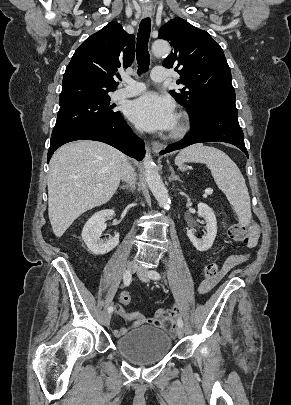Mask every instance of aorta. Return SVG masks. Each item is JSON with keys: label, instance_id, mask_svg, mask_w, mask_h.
I'll return each instance as SVG.
<instances>
[{"label": "aorta", "instance_id": "762f6f07", "mask_svg": "<svg viewBox=\"0 0 291 405\" xmlns=\"http://www.w3.org/2000/svg\"><path fill=\"white\" fill-rule=\"evenodd\" d=\"M171 51L169 43L165 40H156L152 44V52L155 56H167ZM143 165L145 169V178L148 187L154 197L156 198L159 205L164 209L170 208V198L168 190L166 189L160 175L155 170V163L153 162L150 154V149H146V154L143 160Z\"/></svg>", "mask_w": 291, "mask_h": 405}]
</instances>
